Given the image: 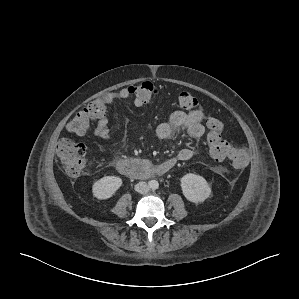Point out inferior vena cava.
Wrapping results in <instances>:
<instances>
[{"label": "inferior vena cava", "mask_w": 299, "mask_h": 299, "mask_svg": "<svg viewBox=\"0 0 299 299\" xmlns=\"http://www.w3.org/2000/svg\"><path fill=\"white\" fill-rule=\"evenodd\" d=\"M135 191L140 194H145L149 191V186L146 182H139L135 185Z\"/></svg>", "instance_id": "obj_1"}]
</instances>
